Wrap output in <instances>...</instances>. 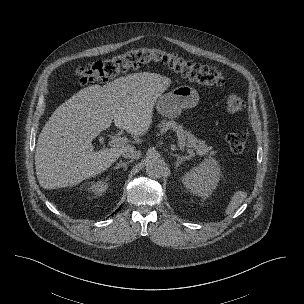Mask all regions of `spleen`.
<instances>
[{
  "label": "spleen",
  "mask_w": 304,
  "mask_h": 304,
  "mask_svg": "<svg viewBox=\"0 0 304 304\" xmlns=\"http://www.w3.org/2000/svg\"><path fill=\"white\" fill-rule=\"evenodd\" d=\"M246 197L247 193L245 191H236L225 210V214L229 215L233 213L242 204Z\"/></svg>",
  "instance_id": "obj_1"
}]
</instances>
